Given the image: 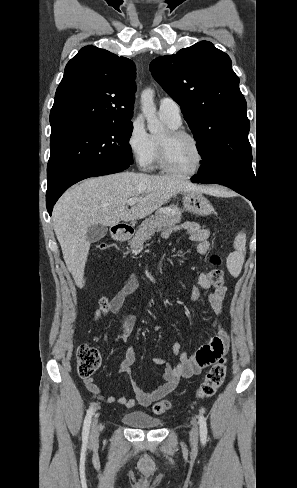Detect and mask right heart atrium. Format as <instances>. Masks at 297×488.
<instances>
[{
    "label": "right heart atrium",
    "mask_w": 297,
    "mask_h": 488,
    "mask_svg": "<svg viewBox=\"0 0 297 488\" xmlns=\"http://www.w3.org/2000/svg\"><path fill=\"white\" fill-rule=\"evenodd\" d=\"M126 144L138 165L146 166L149 163L153 151V141L145 129L142 118L135 117L131 121Z\"/></svg>",
    "instance_id": "1"
}]
</instances>
